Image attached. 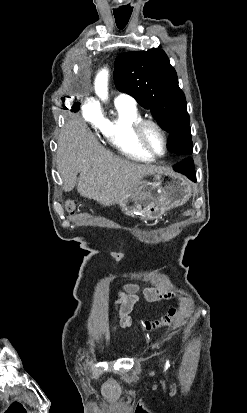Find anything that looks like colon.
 Segmentation results:
<instances>
[{
    "instance_id": "colon-1",
    "label": "colon",
    "mask_w": 247,
    "mask_h": 413,
    "mask_svg": "<svg viewBox=\"0 0 247 413\" xmlns=\"http://www.w3.org/2000/svg\"><path fill=\"white\" fill-rule=\"evenodd\" d=\"M66 207L70 213H73L76 209V204L74 202H68L66 204ZM176 315H177V308L175 307L170 308L167 311V313L161 318L143 321L141 328L138 329L135 332V334L139 336V335H142L143 333H148L152 331H157L162 328L171 327Z\"/></svg>"
}]
</instances>
